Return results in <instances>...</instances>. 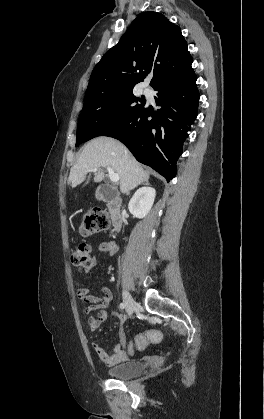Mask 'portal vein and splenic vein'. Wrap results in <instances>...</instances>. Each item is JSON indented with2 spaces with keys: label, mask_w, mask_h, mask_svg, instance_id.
<instances>
[{
  "label": "portal vein and splenic vein",
  "mask_w": 264,
  "mask_h": 419,
  "mask_svg": "<svg viewBox=\"0 0 264 419\" xmlns=\"http://www.w3.org/2000/svg\"><path fill=\"white\" fill-rule=\"evenodd\" d=\"M98 169L97 168H93L92 172H96ZM107 171L109 173V177L110 180L114 183L119 182V175L117 173H115L112 168H110L109 166H107Z\"/></svg>",
  "instance_id": "portal-vein-and-splenic-vein-1"
}]
</instances>
